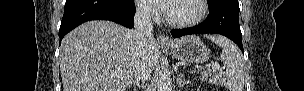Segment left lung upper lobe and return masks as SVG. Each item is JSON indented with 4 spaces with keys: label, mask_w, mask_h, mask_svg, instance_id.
<instances>
[{
    "label": "left lung upper lobe",
    "mask_w": 304,
    "mask_h": 91,
    "mask_svg": "<svg viewBox=\"0 0 304 91\" xmlns=\"http://www.w3.org/2000/svg\"><path fill=\"white\" fill-rule=\"evenodd\" d=\"M223 0H207L209 8L214 7L218 3L222 2Z\"/></svg>",
    "instance_id": "left-lung-upper-lobe-1"
}]
</instances>
